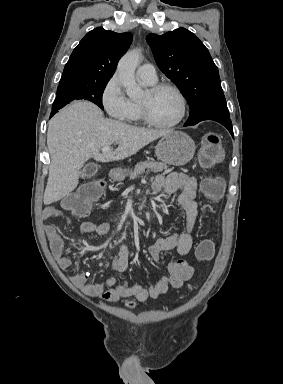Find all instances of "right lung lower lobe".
<instances>
[{
    "mask_svg": "<svg viewBox=\"0 0 283 384\" xmlns=\"http://www.w3.org/2000/svg\"><path fill=\"white\" fill-rule=\"evenodd\" d=\"M59 110V109H58ZM57 110H55V109H52V112H51V115H50V118L55 114V112H56Z\"/></svg>",
    "mask_w": 283,
    "mask_h": 384,
    "instance_id": "1",
    "label": "right lung lower lobe"
}]
</instances>
